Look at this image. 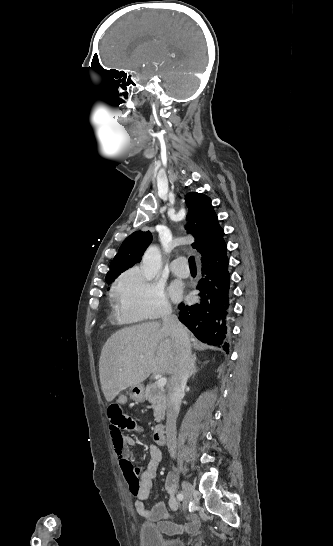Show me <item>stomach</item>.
Wrapping results in <instances>:
<instances>
[{
	"label": "stomach",
	"instance_id": "1",
	"mask_svg": "<svg viewBox=\"0 0 333 546\" xmlns=\"http://www.w3.org/2000/svg\"><path fill=\"white\" fill-rule=\"evenodd\" d=\"M128 395L131 400L134 402H144L145 396H144V387L140 385L132 386L129 389Z\"/></svg>",
	"mask_w": 333,
	"mask_h": 546
}]
</instances>
